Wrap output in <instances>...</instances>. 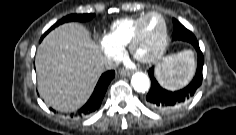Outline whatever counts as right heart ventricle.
<instances>
[{
  "label": "right heart ventricle",
  "instance_id": "e07e8e85",
  "mask_svg": "<svg viewBox=\"0 0 236 135\" xmlns=\"http://www.w3.org/2000/svg\"><path fill=\"white\" fill-rule=\"evenodd\" d=\"M144 16L145 14H141L138 16L122 18L114 21L110 25L107 34L108 39L119 48L127 46L138 23Z\"/></svg>",
  "mask_w": 236,
  "mask_h": 135
}]
</instances>
